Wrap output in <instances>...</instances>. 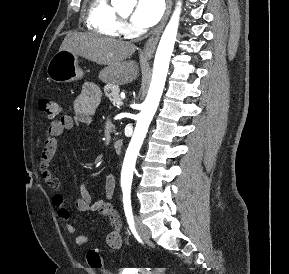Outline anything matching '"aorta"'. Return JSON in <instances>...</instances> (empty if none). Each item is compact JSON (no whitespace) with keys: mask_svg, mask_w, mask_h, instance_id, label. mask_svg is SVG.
I'll list each match as a JSON object with an SVG mask.
<instances>
[{"mask_svg":"<svg viewBox=\"0 0 289 274\" xmlns=\"http://www.w3.org/2000/svg\"><path fill=\"white\" fill-rule=\"evenodd\" d=\"M114 5H121L129 0H112ZM181 3H178L168 25L166 26L161 40L159 42L152 74V80L147 97L142 105L141 112L138 116L136 127L128 146L121 172V184L130 185L135 170V163L139 150L142 146L148 127L153 119L164 89L169 61L173 52L176 41L179 16L181 12Z\"/></svg>","mask_w":289,"mask_h":274,"instance_id":"1","label":"aorta"}]
</instances>
